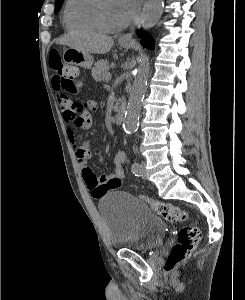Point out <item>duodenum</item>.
Segmentation results:
<instances>
[{
    "label": "duodenum",
    "mask_w": 245,
    "mask_h": 300,
    "mask_svg": "<svg viewBox=\"0 0 245 300\" xmlns=\"http://www.w3.org/2000/svg\"><path fill=\"white\" fill-rule=\"evenodd\" d=\"M125 109L122 104H120L116 110V124L121 125L124 121Z\"/></svg>",
    "instance_id": "1"
}]
</instances>
